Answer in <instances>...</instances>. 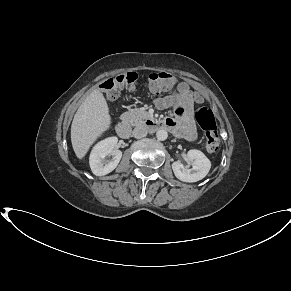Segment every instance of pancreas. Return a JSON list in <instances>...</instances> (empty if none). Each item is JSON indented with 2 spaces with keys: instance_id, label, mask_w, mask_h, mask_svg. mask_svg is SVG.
<instances>
[{
  "instance_id": "cf45deb5",
  "label": "pancreas",
  "mask_w": 291,
  "mask_h": 291,
  "mask_svg": "<svg viewBox=\"0 0 291 291\" xmlns=\"http://www.w3.org/2000/svg\"><path fill=\"white\" fill-rule=\"evenodd\" d=\"M126 116L128 122L133 126L143 124L144 121L149 118L148 112L143 108L133 109L130 112H127Z\"/></svg>"
}]
</instances>
